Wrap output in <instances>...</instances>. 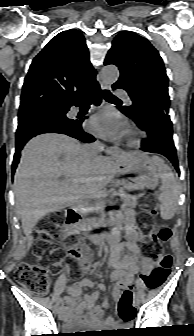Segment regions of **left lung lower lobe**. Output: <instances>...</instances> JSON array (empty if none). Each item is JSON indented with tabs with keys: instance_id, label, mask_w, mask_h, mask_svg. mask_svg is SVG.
<instances>
[{
	"instance_id": "obj_1",
	"label": "left lung lower lobe",
	"mask_w": 194,
	"mask_h": 336,
	"mask_svg": "<svg viewBox=\"0 0 194 336\" xmlns=\"http://www.w3.org/2000/svg\"><path fill=\"white\" fill-rule=\"evenodd\" d=\"M112 87L113 89L117 88L115 86ZM138 127L146 131L149 135V137L141 143L140 149L145 152L164 155L174 165L177 172H179L170 116L168 114L153 116L138 124Z\"/></svg>"
}]
</instances>
